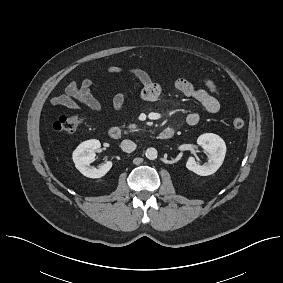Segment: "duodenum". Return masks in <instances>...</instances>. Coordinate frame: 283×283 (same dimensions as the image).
I'll list each match as a JSON object with an SVG mask.
<instances>
[{"instance_id":"410a0bca","label":"duodenum","mask_w":283,"mask_h":283,"mask_svg":"<svg viewBox=\"0 0 283 283\" xmlns=\"http://www.w3.org/2000/svg\"><path fill=\"white\" fill-rule=\"evenodd\" d=\"M174 135V129L171 127L165 128L158 134V138L161 140H168ZM109 136L112 139L118 140L121 138V129L117 126L111 127L109 130Z\"/></svg>"}]
</instances>
